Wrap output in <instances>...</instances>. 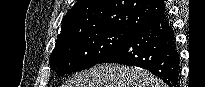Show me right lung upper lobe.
I'll return each mask as SVG.
<instances>
[{
    "label": "right lung upper lobe",
    "mask_w": 205,
    "mask_h": 87,
    "mask_svg": "<svg viewBox=\"0 0 205 87\" xmlns=\"http://www.w3.org/2000/svg\"><path fill=\"white\" fill-rule=\"evenodd\" d=\"M164 13L162 0H78L64 16L56 42L101 29L135 31Z\"/></svg>",
    "instance_id": "obj_1"
}]
</instances>
